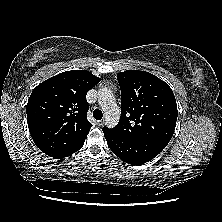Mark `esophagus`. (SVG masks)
<instances>
[{"instance_id": "obj_1", "label": "esophagus", "mask_w": 222, "mask_h": 222, "mask_svg": "<svg viewBox=\"0 0 222 222\" xmlns=\"http://www.w3.org/2000/svg\"><path fill=\"white\" fill-rule=\"evenodd\" d=\"M98 126H102L104 124V120L97 121Z\"/></svg>"}]
</instances>
